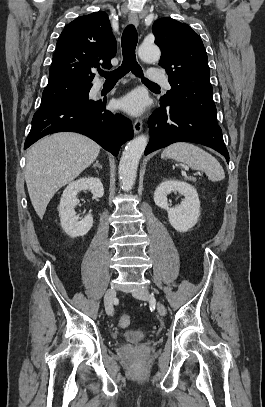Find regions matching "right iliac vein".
<instances>
[{
	"label": "right iliac vein",
	"mask_w": 265,
	"mask_h": 407,
	"mask_svg": "<svg viewBox=\"0 0 265 407\" xmlns=\"http://www.w3.org/2000/svg\"><path fill=\"white\" fill-rule=\"evenodd\" d=\"M116 297V292L113 289H108L104 296L105 309L109 316L113 314V302Z\"/></svg>",
	"instance_id": "obj_1"
}]
</instances>
